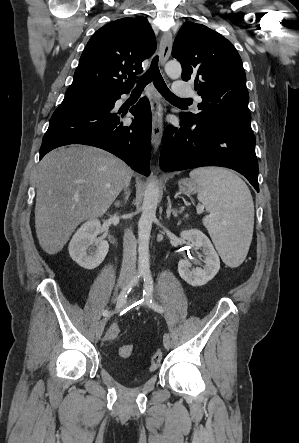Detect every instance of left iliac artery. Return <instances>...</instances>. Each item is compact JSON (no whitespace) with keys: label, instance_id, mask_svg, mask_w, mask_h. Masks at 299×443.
<instances>
[{"label":"left iliac artery","instance_id":"44dca946","mask_svg":"<svg viewBox=\"0 0 299 443\" xmlns=\"http://www.w3.org/2000/svg\"><path fill=\"white\" fill-rule=\"evenodd\" d=\"M143 277H144V290H143V294H144L145 302L152 309H154V310H156V311H158L160 313H163L164 312L163 307L161 305L155 303L152 300L153 279H152L151 273L147 271V272H145L143 274Z\"/></svg>","mask_w":299,"mask_h":443}]
</instances>
